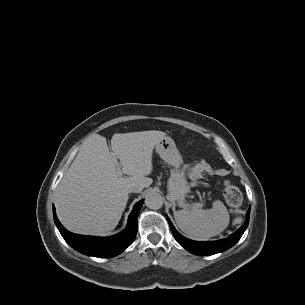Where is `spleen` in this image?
<instances>
[{"label": "spleen", "mask_w": 305, "mask_h": 305, "mask_svg": "<svg viewBox=\"0 0 305 305\" xmlns=\"http://www.w3.org/2000/svg\"><path fill=\"white\" fill-rule=\"evenodd\" d=\"M211 209H201L194 204L191 209L174 212L179 229L189 238L205 241L220 234L229 224V213L222 201L213 202Z\"/></svg>", "instance_id": "spleen-1"}]
</instances>
